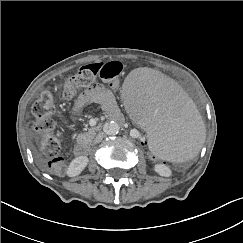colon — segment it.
<instances>
[{
  "label": "colon",
  "instance_id": "5ec220e1",
  "mask_svg": "<svg viewBox=\"0 0 243 243\" xmlns=\"http://www.w3.org/2000/svg\"><path fill=\"white\" fill-rule=\"evenodd\" d=\"M123 64L119 61L109 63H94L82 66L78 71L64 81L63 95L65 98H73L84 87H88L98 79L107 83L111 88L119 86ZM56 110V96L46 91L32 106L34 117L33 127L41 135L42 151L47 157L48 168L56 174H61L65 169V161L60 155V142L52 134L55 121L52 115ZM140 147L144 156L151 163L158 166L170 168L171 162L163 160L154 152L146 140L140 141Z\"/></svg>",
  "mask_w": 243,
  "mask_h": 243
}]
</instances>
